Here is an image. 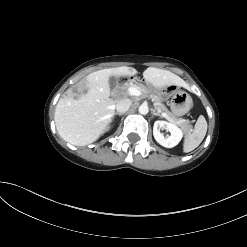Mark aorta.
Segmentation results:
<instances>
[{
  "mask_svg": "<svg viewBox=\"0 0 247 247\" xmlns=\"http://www.w3.org/2000/svg\"><path fill=\"white\" fill-rule=\"evenodd\" d=\"M138 110H139V113L140 114L146 115L149 112V107H148L147 104H142V105L139 106V109Z\"/></svg>",
  "mask_w": 247,
  "mask_h": 247,
  "instance_id": "aorta-1",
  "label": "aorta"
}]
</instances>
